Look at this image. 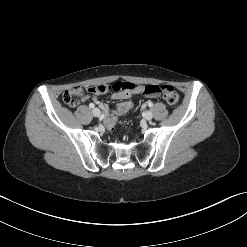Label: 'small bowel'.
Masks as SVG:
<instances>
[{
    "label": "small bowel",
    "instance_id": "obj_1",
    "mask_svg": "<svg viewBox=\"0 0 247 247\" xmlns=\"http://www.w3.org/2000/svg\"><path fill=\"white\" fill-rule=\"evenodd\" d=\"M136 86H138V85H136ZM136 94H142L143 95V93H139L136 89L130 90L129 88H125V89H122V90H119V91H114L112 93V95H111V98L113 100H124V101H126L127 99H130L133 95H136ZM144 96H146V95H144ZM86 99H87L86 96L82 97V100H86Z\"/></svg>",
    "mask_w": 247,
    "mask_h": 247
}]
</instances>
